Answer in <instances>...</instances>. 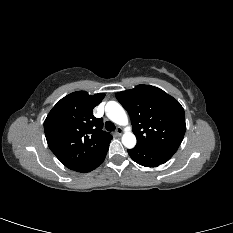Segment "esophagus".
Returning <instances> with one entry per match:
<instances>
[{"label":"esophagus","mask_w":233,"mask_h":233,"mask_svg":"<svg viewBox=\"0 0 233 233\" xmlns=\"http://www.w3.org/2000/svg\"><path fill=\"white\" fill-rule=\"evenodd\" d=\"M122 133H123V129L121 127H117L115 134L120 136V135H122Z\"/></svg>","instance_id":"34e87169"}]
</instances>
